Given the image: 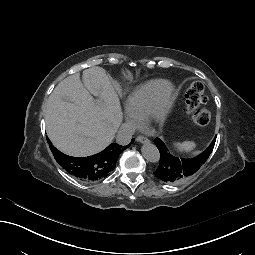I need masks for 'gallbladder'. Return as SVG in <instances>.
<instances>
[{"mask_svg":"<svg viewBox=\"0 0 255 255\" xmlns=\"http://www.w3.org/2000/svg\"><path fill=\"white\" fill-rule=\"evenodd\" d=\"M64 101H68V102H71L70 100H67L66 98H63Z\"/></svg>","mask_w":255,"mask_h":255,"instance_id":"gallbladder-1","label":"gallbladder"}]
</instances>
